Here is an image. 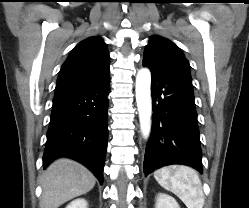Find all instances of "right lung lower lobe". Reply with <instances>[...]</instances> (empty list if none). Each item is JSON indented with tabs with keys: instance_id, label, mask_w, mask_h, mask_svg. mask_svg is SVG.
Returning <instances> with one entry per match:
<instances>
[{
	"instance_id": "right-lung-lower-lobe-1",
	"label": "right lung lower lobe",
	"mask_w": 249,
	"mask_h": 208,
	"mask_svg": "<svg viewBox=\"0 0 249 208\" xmlns=\"http://www.w3.org/2000/svg\"><path fill=\"white\" fill-rule=\"evenodd\" d=\"M109 89L107 76L95 84L55 94L43 155L44 168L58 157H69L85 165L103 183Z\"/></svg>"
}]
</instances>
